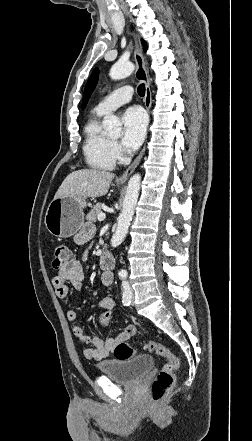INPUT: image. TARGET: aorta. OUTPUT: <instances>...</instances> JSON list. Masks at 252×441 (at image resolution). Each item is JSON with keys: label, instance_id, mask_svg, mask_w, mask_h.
<instances>
[{"label": "aorta", "instance_id": "aorta-1", "mask_svg": "<svg viewBox=\"0 0 252 441\" xmlns=\"http://www.w3.org/2000/svg\"><path fill=\"white\" fill-rule=\"evenodd\" d=\"M135 66L129 61H118L110 69V77L113 80H120L128 77L133 73ZM121 122L118 117L112 115L105 118L103 121L104 129L110 135H119L121 132ZM141 176L140 174H134L127 185L125 198L123 201L122 212L117 220V229L111 239V245L113 247L119 246L128 232L130 222L133 218L135 207L138 201L140 192Z\"/></svg>", "mask_w": 252, "mask_h": 441}]
</instances>
